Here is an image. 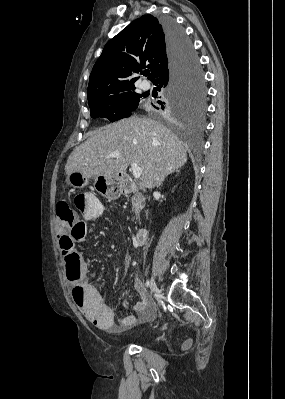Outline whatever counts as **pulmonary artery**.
<instances>
[{"label": "pulmonary artery", "instance_id": "obj_1", "mask_svg": "<svg viewBox=\"0 0 285 399\" xmlns=\"http://www.w3.org/2000/svg\"><path fill=\"white\" fill-rule=\"evenodd\" d=\"M142 88H143L144 90H147V89L150 88V84H149L147 81H143V82H142Z\"/></svg>", "mask_w": 285, "mask_h": 399}]
</instances>
